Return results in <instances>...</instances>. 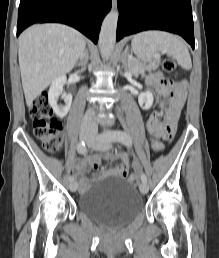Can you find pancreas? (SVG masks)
Returning <instances> with one entry per match:
<instances>
[{
  "mask_svg": "<svg viewBox=\"0 0 219 258\" xmlns=\"http://www.w3.org/2000/svg\"><path fill=\"white\" fill-rule=\"evenodd\" d=\"M159 66L158 60H155L154 62L146 65L144 63H141L135 58H132L128 62V68L131 72H133L135 75L138 74H144L145 71H153L156 70Z\"/></svg>",
  "mask_w": 219,
  "mask_h": 258,
  "instance_id": "1",
  "label": "pancreas"
}]
</instances>
